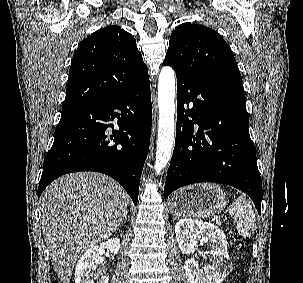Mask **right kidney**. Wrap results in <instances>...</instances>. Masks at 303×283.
I'll use <instances>...</instances> for the list:
<instances>
[{"label":"right kidney","mask_w":303,"mask_h":283,"mask_svg":"<svg viewBox=\"0 0 303 283\" xmlns=\"http://www.w3.org/2000/svg\"><path fill=\"white\" fill-rule=\"evenodd\" d=\"M104 249L117 254L120 249L119 238L115 237L100 243L99 246H92L80 257L75 270V283H94L93 271L96 270ZM97 283H109V279L107 276H102Z\"/></svg>","instance_id":"right-kidney-1"}]
</instances>
